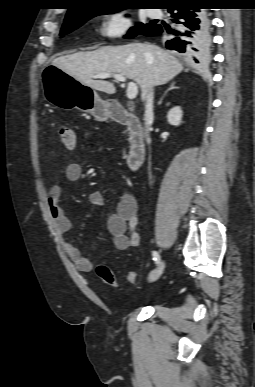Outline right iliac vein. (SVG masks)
Instances as JSON below:
<instances>
[{
  "mask_svg": "<svg viewBox=\"0 0 255 387\" xmlns=\"http://www.w3.org/2000/svg\"><path fill=\"white\" fill-rule=\"evenodd\" d=\"M165 264L163 261L159 262L158 266L150 273L148 277L149 282H154L160 278L164 271Z\"/></svg>",
  "mask_w": 255,
  "mask_h": 387,
  "instance_id": "1",
  "label": "right iliac vein"
}]
</instances>
